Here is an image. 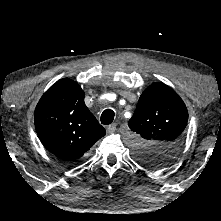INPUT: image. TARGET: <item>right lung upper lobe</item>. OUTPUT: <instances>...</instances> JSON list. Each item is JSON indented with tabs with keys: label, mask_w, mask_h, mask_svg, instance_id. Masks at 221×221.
<instances>
[{
	"label": "right lung upper lobe",
	"mask_w": 221,
	"mask_h": 221,
	"mask_svg": "<svg viewBox=\"0 0 221 221\" xmlns=\"http://www.w3.org/2000/svg\"><path fill=\"white\" fill-rule=\"evenodd\" d=\"M35 128L42 144L65 161L81 158L106 133L84 103L75 81H57L39 100Z\"/></svg>",
	"instance_id": "obj_1"
}]
</instances>
